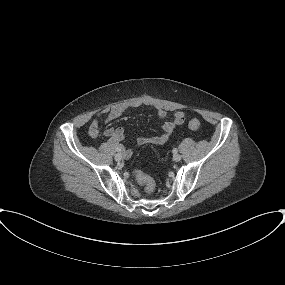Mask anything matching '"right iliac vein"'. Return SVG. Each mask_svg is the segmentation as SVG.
<instances>
[{
    "label": "right iliac vein",
    "mask_w": 285,
    "mask_h": 285,
    "mask_svg": "<svg viewBox=\"0 0 285 285\" xmlns=\"http://www.w3.org/2000/svg\"><path fill=\"white\" fill-rule=\"evenodd\" d=\"M129 156L127 155V153H125L124 151L121 153V154H116L115 156H114V159L116 160V161H120L122 158H128Z\"/></svg>",
    "instance_id": "right-iliac-vein-1"
}]
</instances>
